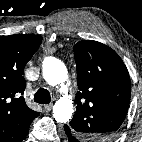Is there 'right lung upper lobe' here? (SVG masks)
I'll use <instances>...</instances> for the list:
<instances>
[{
  "label": "right lung upper lobe",
  "instance_id": "right-lung-upper-lobe-1",
  "mask_svg": "<svg viewBox=\"0 0 142 142\" xmlns=\"http://www.w3.org/2000/svg\"><path fill=\"white\" fill-rule=\"evenodd\" d=\"M41 41L40 35L0 36V142H22L40 114L25 103L22 74Z\"/></svg>",
  "mask_w": 142,
  "mask_h": 142
}]
</instances>
